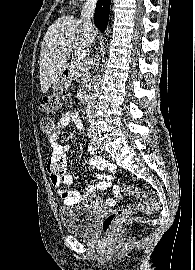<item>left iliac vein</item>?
I'll return each mask as SVG.
<instances>
[{"label":"left iliac vein","instance_id":"obj_1","mask_svg":"<svg viewBox=\"0 0 195 270\" xmlns=\"http://www.w3.org/2000/svg\"><path fill=\"white\" fill-rule=\"evenodd\" d=\"M92 144L94 145L96 149L101 150V151L103 150L98 140V134H97L96 128H93Z\"/></svg>","mask_w":195,"mask_h":270}]
</instances>
